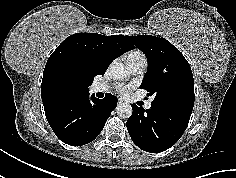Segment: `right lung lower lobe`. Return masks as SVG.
<instances>
[{
    "mask_svg": "<svg viewBox=\"0 0 236 178\" xmlns=\"http://www.w3.org/2000/svg\"><path fill=\"white\" fill-rule=\"evenodd\" d=\"M116 105L114 95L108 93L105 98L97 99L86 92L52 101L44 105V111L49 125L62 142L81 146L99 135Z\"/></svg>",
    "mask_w": 236,
    "mask_h": 178,
    "instance_id": "98d812e1",
    "label": "right lung lower lobe"
}]
</instances>
